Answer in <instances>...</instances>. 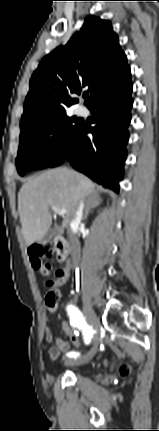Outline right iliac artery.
<instances>
[{
  "mask_svg": "<svg viewBox=\"0 0 159 431\" xmlns=\"http://www.w3.org/2000/svg\"><path fill=\"white\" fill-rule=\"evenodd\" d=\"M67 312L70 316V323L72 326L77 327L82 330L84 335V341L86 344H89L93 335V329L91 326H89L85 318L83 317V314L81 311L75 307L74 305L70 304L67 306ZM69 357L76 358L79 356V353L77 352H71L67 354Z\"/></svg>",
  "mask_w": 159,
  "mask_h": 431,
  "instance_id": "1",
  "label": "right iliac artery"
}]
</instances>
